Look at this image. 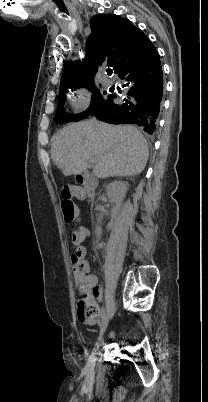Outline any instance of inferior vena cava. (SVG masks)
<instances>
[{
	"mask_svg": "<svg viewBox=\"0 0 208 402\" xmlns=\"http://www.w3.org/2000/svg\"><path fill=\"white\" fill-rule=\"evenodd\" d=\"M90 124H92V126H98L96 118H92V120H90Z\"/></svg>",
	"mask_w": 208,
	"mask_h": 402,
	"instance_id": "602c4592",
	"label": "inferior vena cava"
}]
</instances>
